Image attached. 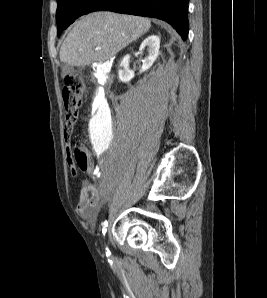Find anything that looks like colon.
<instances>
[{
    "label": "colon",
    "mask_w": 267,
    "mask_h": 298,
    "mask_svg": "<svg viewBox=\"0 0 267 298\" xmlns=\"http://www.w3.org/2000/svg\"><path fill=\"white\" fill-rule=\"evenodd\" d=\"M84 92V82L80 75L73 74L66 76L63 86V101L65 107V136L69 137L74 123L77 120L78 112L82 104V95ZM68 150V164L71 167L73 175L77 168L83 172H90L92 169L91 160L87 152L81 148Z\"/></svg>",
    "instance_id": "5ec220e1"
}]
</instances>
